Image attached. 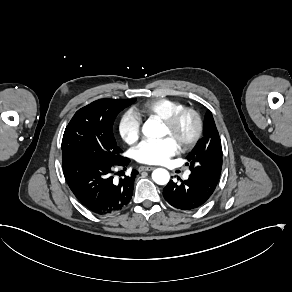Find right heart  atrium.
<instances>
[{"label": "right heart atrium", "instance_id": "1", "mask_svg": "<svg viewBox=\"0 0 292 292\" xmlns=\"http://www.w3.org/2000/svg\"><path fill=\"white\" fill-rule=\"evenodd\" d=\"M142 122L134 108L124 110L118 120V134L128 145H134L140 138Z\"/></svg>", "mask_w": 292, "mask_h": 292}]
</instances>
